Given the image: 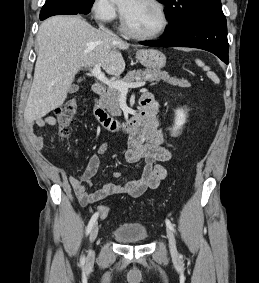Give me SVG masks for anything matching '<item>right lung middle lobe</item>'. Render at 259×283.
I'll use <instances>...</instances> for the list:
<instances>
[{
    "mask_svg": "<svg viewBox=\"0 0 259 283\" xmlns=\"http://www.w3.org/2000/svg\"><path fill=\"white\" fill-rule=\"evenodd\" d=\"M86 2L88 3L89 6H92L94 0H86ZM90 10H91V8H90Z\"/></svg>",
    "mask_w": 259,
    "mask_h": 283,
    "instance_id": "obj_1",
    "label": "right lung middle lobe"
}]
</instances>
